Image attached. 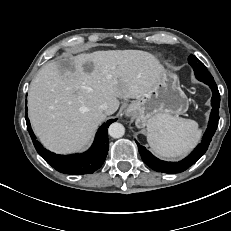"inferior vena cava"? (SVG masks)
<instances>
[{
    "label": "inferior vena cava",
    "mask_w": 231,
    "mask_h": 231,
    "mask_svg": "<svg viewBox=\"0 0 231 231\" xmlns=\"http://www.w3.org/2000/svg\"><path fill=\"white\" fill-rule=\"evenodd\" d=\"M99 110L104 112L106 115H110L112 112L107 103H103L99 106Z\"/></svg>",
    "instance_id": "inferior-vena-cava-1"
}]
</instances>
